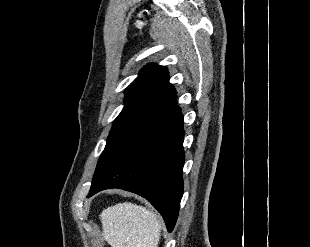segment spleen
Returning <instances> with one entry per match:
<instances>
[{
  "label": "spleen",
  "mask_w": 310,
  "mask_h": 247,
  "mask_svg": "<svg viewBox=\"0 0 310 247\" xmlns=\"http://www.w3.org/2000/svg\"><path fill=\"white\" fill-rule=\"evenodd\" d=\"M102 235L112 247H158L161 224L145 207L124 202L100 214Z\"/></svg>",
  "instance_id": "obj_1"
}]
</instances>
